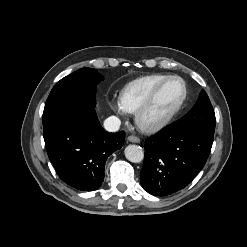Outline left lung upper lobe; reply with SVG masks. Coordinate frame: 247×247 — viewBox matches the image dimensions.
I'll return each mask as SVG.
<instances>
[{"instance_id":"1","label":"left lung upper lobe","mask_w":247,"mask_h":247,"mask_svg":"<svg viewBox=\"0 0 247 247\" xmlns=\"http://www.w3.org/2000/svg\"><path fill=\"white\" fill-rule=\"evenodd\" d=\"M215 123V113L204 90H202L197 104L183 118L176 121V125L180 129L208 133H214Z\"/></svg>"}]
</instances>
